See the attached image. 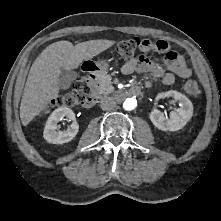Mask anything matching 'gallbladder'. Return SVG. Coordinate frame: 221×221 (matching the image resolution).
Listing matches in <instances>:
<instances>
[{
	"label": "gallbladder",
	"instance_id": "bac80fb5",
	"mask_svg": "<svg viewBox=\"0 0 221 221\" xmlns=\"http://www.w3.org/2000/svg\"><path fill=\"white\" fill-rule=\"evenodd\" d=\"M77 78V73L74 70L60 69L58 85L61 89H67L71 83Z\"/></svg>",
	"mask_w": 221,
	"mask_h": 221
}]
</instances>
